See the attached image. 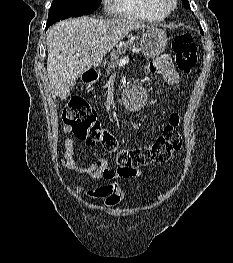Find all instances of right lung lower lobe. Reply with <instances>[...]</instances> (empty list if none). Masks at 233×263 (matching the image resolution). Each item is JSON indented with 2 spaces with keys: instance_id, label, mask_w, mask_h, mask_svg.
<instances>
[{
  "instance_id": "obj_1",
  "label": "right lung lower lobe",
  "mask_w": 233,
  "mask_h": 263,
  "mask_svg": "<svg viewBox=\"0 0 233 263\" xmlns=\"http://www.w3.org/2000/svg\"><path fill=\"white\" fill-rule=\"evenodd\" d=\"M52 24H54V23H52V22H47V27H49L50 25H52ZM47 29V28H46Z\"/></svg>"
}]
</instances>
